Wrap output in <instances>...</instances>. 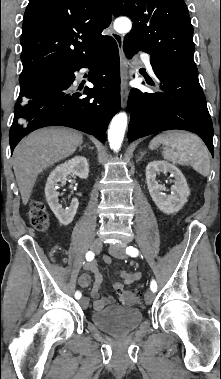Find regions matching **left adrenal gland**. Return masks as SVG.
<instances>
[{"mask_svg": "<svg viewBox=\"0 0 221 379\" xmlns=\"http://www.w3.org/2000/svg\"><path fill=\"white\" fill-rule=\"evenodd\" d=\"M146 154V152H142L140 157L138 158V161H141L142 160V157Z\"/></svg>", "mask_w": 221, "mask_h": 379, "instance_id": "left-adrenal-gland-1", "label": "left adrenal gland"}]
</instances>
